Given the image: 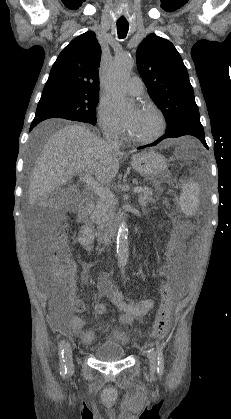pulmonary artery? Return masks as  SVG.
<instances>
[{
	"label": "pulmonary artery",
	"mask_w": 231,
	"mask_h": 419,
	"mask_svg": "<svg viewBox=\"0 0 231 419\" xmlns=\"http://www.w3.org/2000/svg\"><path fill=\"white\" fill-rule=\"evenodd\" d=\"M127 90L130 94L138 96L144 91V84L140 77L133 76L127 83Z\"/></svg>",
	"instance_id": "1"
}]
</instances>
